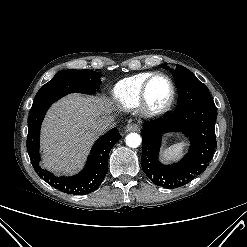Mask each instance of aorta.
<instances>
[{
  "label": "aorta",
  "mask_w": 247,
  "mask_h": 247,
  "mask_svg": "<svg viewBox=\"0 0 247 247\" xmlns=\"http://www.w3.org/2000/svg\"><path fill=\"white\" fill-rule=\"evenodd\" d=\"M126 144L131 148H136L141 144V137L137 133H130L126 136Z\"/></svg>",
  "instance_id": "762f6f07"
}]
</instances>
